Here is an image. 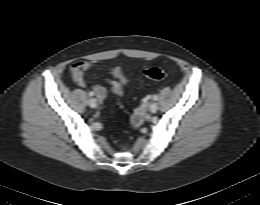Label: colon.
Instances as JSON below:
<instances>
[{
    "label": "colon",
    "instance_id": "colon-1",
    "mask_svg": "<svg viewBox=\"0 0 260 205\" xmlns=\"http://www.w3.org/2000/svg\"><path fill=\"white\" fill-rule=\"evenodd\" d=\"M143 75L152 80H164L167 77V70L163 66L149 67L143 70Z\"/></svg>",
    "mask_w": 260,
    "mask_h": 205
}]
</instances>
